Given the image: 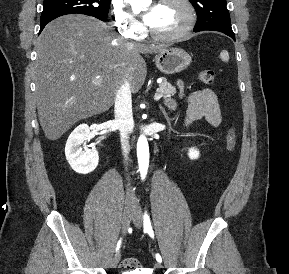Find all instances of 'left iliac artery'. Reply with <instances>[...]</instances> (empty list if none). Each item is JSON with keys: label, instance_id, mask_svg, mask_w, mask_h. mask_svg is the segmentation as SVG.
I'll list each match as a JSON object with an SVG mask.
<instances>
[{"label": "left iliac artery", "instance_id": "left-iliac-artery-1", "mask_svg": "<svg viewBox=\"0 0 289 274\" xmlns=\"http://www.w3.org/2000/svg\"><path fill=\"white\" fill-rule=\"evenodd\" d=\"M143 223H144V232H146L152 239H154V232L147 211L144 212ZM156 260L160 263L162 262V258L158 253L156 254Z\"/></svg>", "mask_w": 289, "mask_h": 274}]
</instances>
